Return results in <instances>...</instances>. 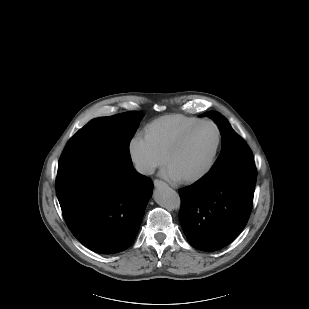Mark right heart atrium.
Wrapping results in <instances>:
<instances>
[{
  "label": "right heart atrium",
  "instance_id": "obj_1",
  "mask_svg": "<svg viewBox=\"0 0 309 309\" xmlns=\"http://www.w3.org/2000/svg\"><path fill=\"white\" fill-rule=\"evenodd\" d=\"M129 158L137 172L148 175L164 162L162 157L142 134L134 135L128 145Z\"/></svg>",
  "mask_w": 309,
  "mask_h": 309
}]
</instances>
